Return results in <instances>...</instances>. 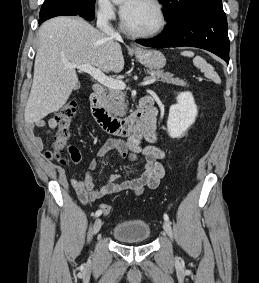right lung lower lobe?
I'll use <instances>...</instances> for the list:
<instances>
[{"instance_id": "98d812e1", "label": "right lung lower lobe", "mask_w": 259, "mask_h": 283, "mask_svg": "<svg viewBox=\"0 0 259 283\" xmlns=\"http://www.w3.org/2000/svg\"><path fill=\"white\" fill-rule=\"evenodd\" d=\"M95 0H45L39 14V23L60 15H79L86 20L94 19Z\"/></svg>"}]
</instances>
